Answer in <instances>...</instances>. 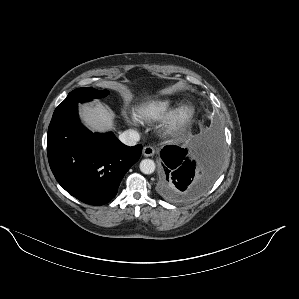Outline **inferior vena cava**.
Returning <instances> with one entry per match:
<instances>
[{"label":"inferior vena cava","instance_id":"1","mask_svg":"<svg viewBox=\"0 0 299 299\" xmlns=\"http://www.w3.org/2000/svg\"><path fill=\"white\" fill-rule=\"evenodd\" d=\"M119 140L127 146H134L140 140V135L137 131L129 129L119 135Z\"/></svg>","mask_w":299,"mask_h":299}]
</instances>
